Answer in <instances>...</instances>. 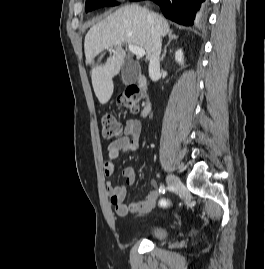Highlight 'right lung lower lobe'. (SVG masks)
<instances>
[{
  "instance_id": "obj_1",
  "label": "right lung lower lobe",
  "mask_w": 265,
  "mask_h": 269,
  "mask_svg": "<svg viewBox=\"0 0 265 269\" xmlns=\"http://www.w3.org/2000/svg\"><path fill=\"white\" fill-rule=\"evenodd\" d=\"M142 1V0H131ZM158 4L163 14L179 24L192 25L196 12L205 0H152Z\"/></svg>"
}]
</instances>
